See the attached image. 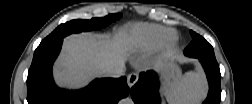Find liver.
I'll use <instances>...</instances> for the list:
<instances>
[{
    "label": "liver",
    "mask_w": 252,
    "mask_h": 104,
    "mask_svg": "<svg viewBox=\"0 0 252 104\" xmlns=\"http://www.w3.org/2000/svg\"><path fill=\"white\" fill-rule=\"evenodd\" d=\"M130 50L131 41L125 32L112 39H98L91 33L71 35L65 38L56 62L55 80L62 86H85L92 78L102 76L105 68L124 64Z\"/></svg>",
    "instance_id": "obj_1"
}]
</instances>
